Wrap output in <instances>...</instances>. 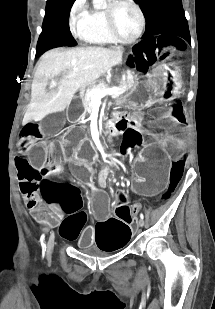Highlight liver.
<instances>
[{
  "instance_id": "obj_1",
  "label": "liver",
  "mask_w": 215,
  "mask_h": 309,
  "mask_svg": "<svg viewBox=\"0 0 215 309\" xmlns=\"http://www.w3.org/2000/svg\"><path fill=\"white\" fill-rule=\"evenodd\" d=\"M122 46H77L70 50H48L42 54L31 84V100L23 124L32 116L64 110L75 92L94 84L104 72L122 60ZM60 76L58 86L46 90L48 80Z\"/></svg>"
}]
</instances>
